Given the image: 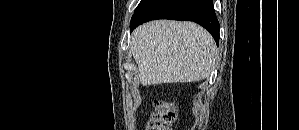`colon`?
<instances>
[{
    "label": "colon",
    "mask_w": 299,
    "mask_h": 130,
    "mask_svg": "<svg viewBox=\"0 0 299 130\" xmlns=\"http://www.w3.org/2000/svg\"><path fill=\"white\" fill-rule=\"evenodd\" d=\"M176 116V109L172 103L157 100L145 130H172Z\"/></svg>",
    "instance_id": "1"
}]
</instances>
